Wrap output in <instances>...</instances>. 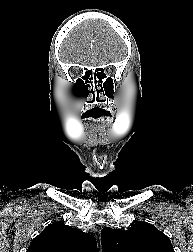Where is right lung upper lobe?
<instances>
[{"mask_svg":"<svg viewBox=\"0 0 193 252\" xmlns=\"http://www.w3.org/2000/svg\"><path fill=\"white\" fill-rule=\"evenodd\" d=\"M27 252H97V242L93 235L55 222L33 239Z\"/></svg>","mask_w":193,"mask_h":252,"instance_id":"1","label":"right lung upper lobe"}]
</instances>
